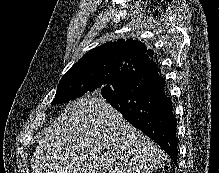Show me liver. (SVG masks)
<instances>
[{
	"mask_svg": "<svg viewBox=\"0 0 219 173\" xmlns=\"http://www.w3.org/2000/svg\"><path fill=\"white\" fill-rule=\"evenodd\" d=\"M166 154L100 95L70 105L40 137L33 173H150Z\"/></svg>",
	"mask_w": 219,
	"mask_h": 173,
	"instance_id": "obj_1",
	"label": "liver"
}]
</instances>
